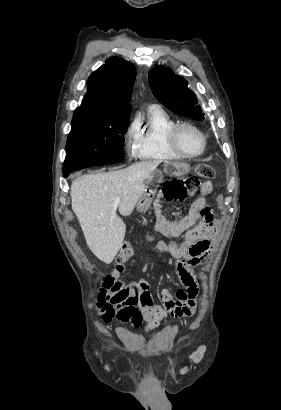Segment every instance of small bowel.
Masks as SVG:
<instances>
[{
    "mask_svg": "<svg viewBox=\"0 0 281 410\" xmlns=\"http://www.w3.org/2000/svg\"><path fill=\"white\" fill-rule=\"evenodd\" d=\"M210 192L211 184L204 182L187 215L178 221L167 220L162 206L159 203L155 205L156 228L172 239L182 237L181 242H158L155 249L176 259V275L185 289H179L175 296L167 289H162L160 298L163 305H154L150 283L140 278L136 282L125 284L122 275L126 265L119 263L104 277L97 298L98 312L105 320L107 315L124 312L128 320L134 323V316L129 311L135 310L139 313L138 326L144 320L147 322L145 330L150 331L169 315L183 317L194 313L195 308L190 313L185 312L189 304L195 302L198 293L194 268L208 255L218 233L212 210L206 204V197Z\"/></svg>",
    "mask_w": 281,
    "mask_h": 410,
    "instance_id": "obj_1",
    "label": "small bowel"
}]
</instances>
